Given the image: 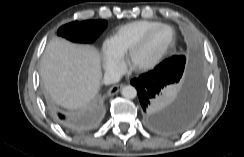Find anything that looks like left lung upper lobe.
I'll return each mask as SVG.
<instances>
[{
    "label": "left lung upper lobe",
    "instance_id": "1",
    "mask_svg": "<svg viewBox=\"0 0 244 157\" xmlns=\"http://www.w3.org/2000/svg\"><path fill=\"white\" fill-rule=\"evenodd\" d=\"M186 58L183 55H175L160 63L156 66V69L163 71H176L179 70L182 66H185Z\"/></svg>",
    "mask_w": 244,
    "mask_h": 157
}]
</instances>
